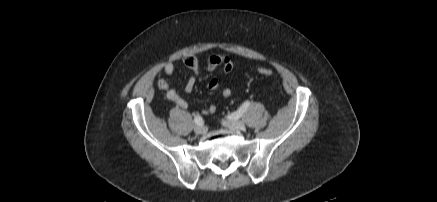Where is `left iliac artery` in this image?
I'll use <instances>...</instances> for the list:
<instances>
[{"instance_id": "1", "label": "left iliac artery", "mask_w": 437, "mask_h": 202, "mask_svg": "<svg viewBox=\"0 0 437 202\" xmlns=\"http://www.w3.org/2000/svg\"><path fill=\"white\" fill-rule=\"evenodd\" d=\"M249 105H250V102H249V101L244 102V103L242 104V106H241V107H240L236 112H233L231 115H229L228 118H229L230 120L240 118V117L243 115V113L247 110V108L249 107Z\"/></svg>"}]
</instances>
